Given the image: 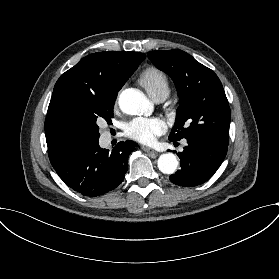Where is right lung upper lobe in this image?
<instances>
[{"mask_svg":"<svg viewBox=\"0 0 279 279\" xmlns=\"http://www.w3.org/2000/svg\"><path fill=\"white\" fill-rule=\"evenodd\" d=\"M146 55L138 52H100L82 58L57 80L45 120L51 164L79 150L58 131L55 116L61 101L76 92L120 90Z\"/></svg>","mask_w":279,"mask_h":279,"instance_id":"1","label":"right lung upper lobe"}]
</instances>
